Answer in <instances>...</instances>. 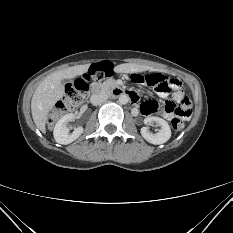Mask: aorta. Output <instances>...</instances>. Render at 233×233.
<instances>
[{
  "label": "aorta",
  "mask_w": 233,
  "mask_h": 233,
  "mask_svg": "<svg viewBox=\"0 0 233 233\" xmlns=\"http://www.w3.org/2000/svg\"><path fill=\"white\" fill-rule=\"evenodd\" d=\"M120 104H127L129 101V96L127 94H121L118 99Z\"/></svg>",
  "instance_id": "762f6f07"
}]
</instances>
